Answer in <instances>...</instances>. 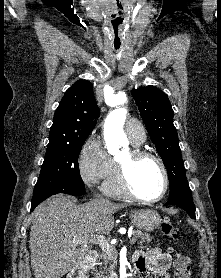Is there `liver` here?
<instances>
[{"label": "liver", "instance_id": "liver-1", "mask_svg": "<svg viewBox=\"0 0 221 278\" xmlns=\"http://www.w3.org/2000/svg\"><path fill=\"white\" fill-rule=\"evenodd\" d=\"M124 207L127 204L99 199L77 205L65 195L40 204L32 214L29 240L35 278H61L73 270L91 251L88 243L73 241L110 233L113 214Z\"/></svg>", "mask_w": 221, "mask_h": 278}]
</instances>
